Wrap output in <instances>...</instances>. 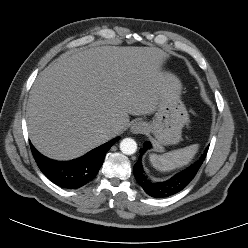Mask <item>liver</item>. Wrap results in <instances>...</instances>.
Wrapping results in <instances>:
<instances>
[{
  "label": "liver",
  "instance_id": "1",
  "mask_svg": "<svg viewBox=\"0 0 248 248\" xmlns=\"http://www.w3.org/2000/svg\"><path fill=\"white\" fill-rule=\"evenodd\" d=\"M156 47L101 46L69 51L37 77L27 104L32 144L56 160L79 157L122 133L129 114L157 110L169 87ZM108 129H116L110 135Z\"/></svg>",
  "mask_w": 248,
  "mask_h": 248
}]
</instances>
